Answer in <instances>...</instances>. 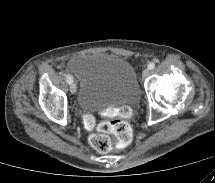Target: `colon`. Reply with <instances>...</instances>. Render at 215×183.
Returning a JSON list of instances; mask_svg holds the SVG:
<instances>
[{"instance_id":"1","label":"colon","mask_w":215,"mask_h":183,"mask_svg":"<svg viewBox=\"0 0 215 183\" xmlns=\"http://www.w3.org/2000/svg\"><path fill=\"white\" fill-rule=\"evenodd\" d=\"M105 116L97 124L98 133L89 136L90 145L99 152H108L113 147L109 134H113L118 139L116 147L124 149L131 142L133 135L130 125L131 108L122 106L118 109H109Z\"/></svg>"}]
</instances>
